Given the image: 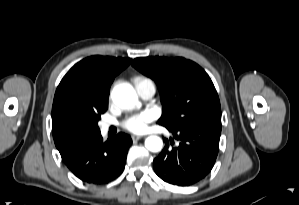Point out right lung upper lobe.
<instances>
[{
    "mask_svg": "<svg viewBox=\"0 0 299 205\" xmlns=\"http://www.w3.org/2000/svg\"><path fill=\"white\" fill-rule=\"evenodd\" d=\"M130 58L91 56L75 64L57 87L52 107V133L59 152L67 149L58 133L61 119L71 111L108 107L109 88Z\"/></svg>",
    "mask_w": 299,
    "mask_h": 205,
    "instance_id": "obj_1",
    "label": "right lung upper lobe"
}]
</instances>
